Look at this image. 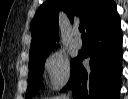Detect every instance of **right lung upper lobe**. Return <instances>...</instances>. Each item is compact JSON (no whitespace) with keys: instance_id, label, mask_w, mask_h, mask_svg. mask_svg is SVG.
Returning a JSON list of instances; mask_svg holds the SVG:
<instances>
[{"instance_id":"right-lung-upper-lobe-1","label":"right lung upper lobe","mask_w":128,"mask_h":99,"mask_svg":"<svg viewBox=\"0 0 128 99\" xmlns=\"http://www.w3.org/2000/svg\"><path fill=\"white\" fill-rule=\"evenodd\" d=\"M115 5L113 0H47L31 23L30 58L52 51L58 41V14L62 9L71 23L80 18L86 30Z\"/></svg>"}]
</instances>
